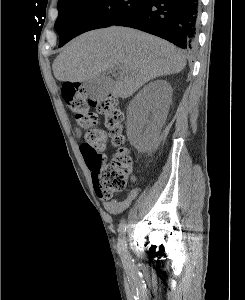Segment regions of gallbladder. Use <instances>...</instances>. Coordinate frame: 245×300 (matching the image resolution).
I'll list each match as a JSON object with an SVG mask.
<instances>
[{
  "label": "gallbladder",
  "mask_w": 245,
  "mask_h": 300,
  "mask_svg": "<svg viewBox=\"0 0 245 300\" xmlns=\"http://www.w3.org/2000/svg\"><path fill=\"white\" fill-rule=\"evenodd\" d=\"M113 84V79L103 73L98 77L83 83L85 96L92 100H102L110 93Z\"/></svg>",
  "instance_id": "obj_1"
}]
</instances>
